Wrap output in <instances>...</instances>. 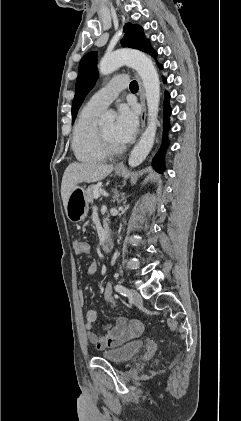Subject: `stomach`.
I'll use <instances>...</instances> for the list:
<instances>
[{
  "mask_svg": "<svg viewBox=\"0 0 241 421\" xmlns=\"http://www.w3.org/2000/svg\"><path fill=\"white\" fill-rule=\"evenodd\" d=\"M117 175L125 174L124 169H116ZM66 216L71 222H80L84 220L88 213V202L85 199V189L81 186H75L71 191L66 204Z\"/></svg>",
  "mask_w": 241,
  "mask_h": 421,
  "instance_id": "stomach-1",
  "label": "stomach"
}]
</instances>
